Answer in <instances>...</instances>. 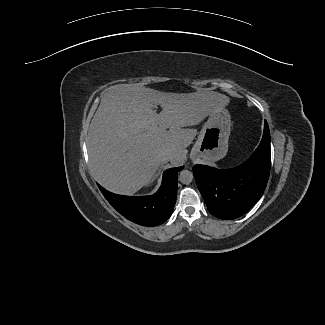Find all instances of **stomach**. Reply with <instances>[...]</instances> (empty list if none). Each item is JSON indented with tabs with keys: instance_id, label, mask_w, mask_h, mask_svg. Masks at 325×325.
<instances>
[{
	"instance_id": "0dacf381",
	"label": "stomach",
	"mask_w": 325,
	"mask_h": 325,
	"mask_svg": "<svg viewBox=\"0 0 325 325\" xmlns=\"http://www.w3.org/2000/svg\"><path fill=\"white\" fill-rule=\"evenodd\" d=\"M231 130L230 114L225 108L212 111L191 151V158L201 162L222 159L228 150Z\"/></svg>"
}]
</instances>
